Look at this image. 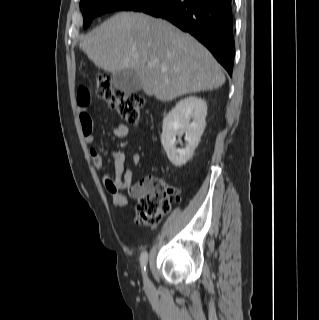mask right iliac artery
<instances>
[{
  "mask_svg": "<svg viewBox=\"0 0 319 320\" xmlns=\"http://www.w3.org/2000/svg\"><path fill=\"white\" fill-rule=\"evenodd\" d=\"M147 261H148V253L144 251L141 253V257H140L141 267L144 271L146 270Z\"/></svg>",
  "mask_w": 319,
  "mask_h": 320,
  "instance_id": "1",
  "label": "right iliac artery"
}]
</instances>
